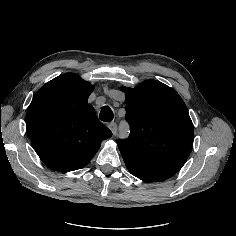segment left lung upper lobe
Wrapping results in <instances>:
<instances>
[{"label": "left lung upper lobe", "mask_w": 236, "mask_h": 236, "mask_svg": "<svg viewBox=\"0 0 236 236\" xmlns=\"http://www.w3.org/2000/svg\"><path fill=\"white\" fill-rule=\"evenodd\" d=\"M122 90L131 132L117 143L128 170L145 182L170 178L184 165L193 146V123L184 101L156 80Z\"/></svg>", "instance_id": "left-lung-upper-lobe-1"}]
</instances>
